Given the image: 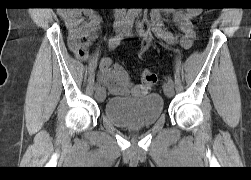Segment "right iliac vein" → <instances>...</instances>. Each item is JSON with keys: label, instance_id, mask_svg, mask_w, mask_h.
<instances>
[{"label": "right iliac vein", "instance_id": "1", "mask_svg": "<svg viewBox=\"0 0 251 180\" xmlns=\"http://www.w3.org/2000/svg\"><path fill=\"white\" fill-rule=\"evenodd\" d=\"M124 22L123 21H117L115 24H114V30L118 33V32H121L123 31L124 29ZM106 97V90L104 87H99L98 89H96V92H95V98L99 101V102H102L104 101Z\"/></svg>", "mask_w": 251, "mask_h": 180}]
</instances>
